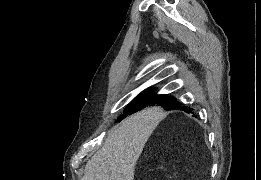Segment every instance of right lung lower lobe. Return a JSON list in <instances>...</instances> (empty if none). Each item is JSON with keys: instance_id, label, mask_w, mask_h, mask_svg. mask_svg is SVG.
Instances as JSON below:
<instances>
[{"instance_id": "obj_1", "label": "right lung lower lobe", "mask_w": 261, "mask_h": 180, "mask_svg": "<svg viewBox=\"0 0 261 180\" xmlns=\"http://www.w3.org/2000/svg\"><path fill=\"white\" fill-rule=\"evenodd\" d=\"M177 109H179V110H184L185 112H187V113H189L190 111H191V109L190 108H188V107H183V106H177L176 107Z\"/></svg>"}]
</instances>
